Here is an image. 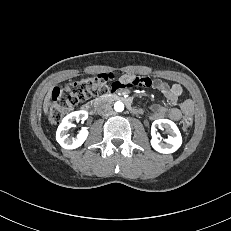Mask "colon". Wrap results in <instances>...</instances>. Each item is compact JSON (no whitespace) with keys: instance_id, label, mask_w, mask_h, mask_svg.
Listing matches in <instances>:
<instances>
[{"instance_id":"1","label":"colon","mask_w":231,"mask_h":231,"mask_svg":"<svg viewBox=\"0 0 231 231\" xmlns=\"http://www.w3.org/2000/svg\"><path fill=\"white\" fill-rule=\"evenodd\" d=\"M116 80L118 79L113 74H98L71 80L55 87L48 102L49 123L56 125L79 103L116 90ZM192 123V116L186 114L181 121L182 130L189 131Z\"/></svg>"}]
</instances>
